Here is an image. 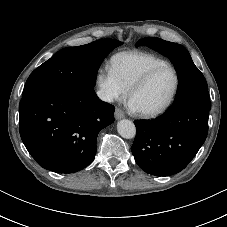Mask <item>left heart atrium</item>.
<instances>
[{"mask_svg": "<svg viewBox=\"0 0 227 227\" xmlns=\"http://www.w3.org/2000/svg\"><path fill=\"white\" fill-rule=\"evenodd\" d=\"M129 105L133 110H136V108L134 107V105L131 102L129 103Z\"/></svg>", "mask_w": 227, "mask_h": 227, "instance_id": "left-heart-atrium-1", "label": "left heart atrium"}]
</instances>
